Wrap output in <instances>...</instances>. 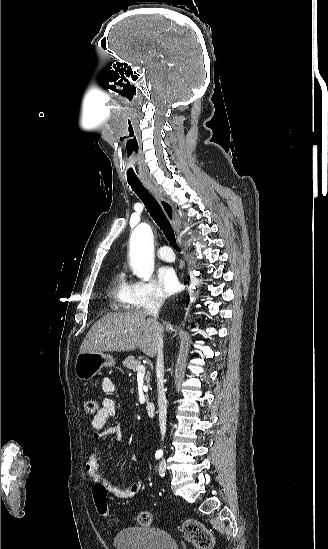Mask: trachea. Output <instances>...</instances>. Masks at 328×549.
I'll list each match as a JSON object with an SVG mask.
<instances>
[{
    "label": "trachea",
    "instance_id": "obj_1",
    "mask_svg": "<svg viewBox=\"0 0 328 549\" xmlns=\"http://www.w3.org/2000/svg\"><path fill=\"white\" fill-rule=\"evenodd\" d=\"M128 183L132 190H134V192L141 199L147 211L156 222L158 227L162 230L170 245L174 247V249L178 250V252H181V249L176 242V237L172 225L167 219L157 200L154 199L153 195L148 192V190L144 187V185L141 184L139 180H131L128 181Z\"/></svg>",
    "mask_w": 328,
    "mask_h": 549
}]
</instances>
